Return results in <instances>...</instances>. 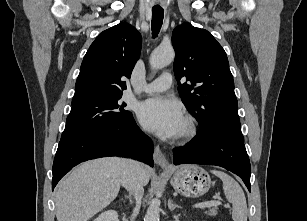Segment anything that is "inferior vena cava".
I'll list each match as a JSON object with an SVG mask.
<instances>
[{
	"label": "inferior vena cava",
	"instance_id": "inferior-vena-cava-1",
	"mask_svg": "<svg viewBox=\"0 0 307 221\" xmlns=\"http://www.w3.org/2000/svg\"><path fill=\"white\" fill-rule=\"evenodd\" d=\"M139 163L133 160H126L125 173L122 180V186L127 188V190L134 195L136 199V206L132 214V220L139 213L141 206V199L144 194L143 184L139 175L136 173L135 169L138 167Z\"/></svg>",
	"mask_w": 307,
	"mask_h": 221
}]
</instances>
